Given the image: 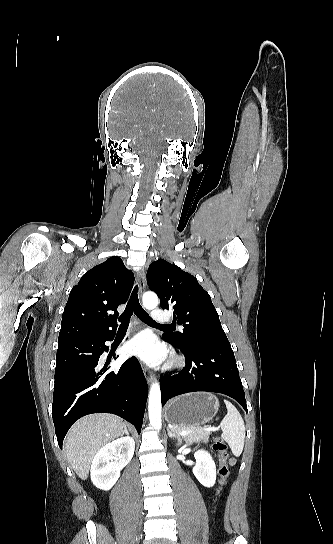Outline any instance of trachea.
<instances>
[{
	"mask_svg": "<svg viewBox=\"0 0 333 544\" xmlns=\"http://www.w3.org/2000/svg\"><path fill=\"white\" fill-rule=\"evenodd\" d=\"M133 312L135 313V315L140 320H142L143 322H145L147 324L158 325V326H163V327H168V328L172 327L171 325H161L159 323H156L146 313V311L142 308V306L139 303L138 286L137 285L134 287V289L132 291V294L130 296V299H129L128 303H127V306H126L124 312L121 314V316L119 318V321L121 322L120 327H119L120 330L127 329L128 325H129L130 318H131Z\"/></svg>",
	"mask_w": 333,
	"mask_h": 544,
	"instance_id": "3493384b",
	"label": "trachea"
}]
</instances>
